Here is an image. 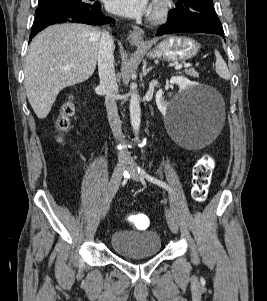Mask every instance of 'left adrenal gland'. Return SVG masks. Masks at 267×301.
Returning <instances> with one entry per match:
<instances>
[{
  "mask_svg": "<svg viewBox=\"0 0 267 301\" xmlns=\"http://www.w3.org/2000/svg\"><path fill=\"white\" fill-rule=\"evenodd\" d=\"M146 65H147V62L146 60L143 61V67H142V75L143 76H146L150 70H152L153 67H149V68H146Z\"/></svg>",
  "mask_w": 267,
  "mask_h": 301,
  "instance_id": "a2214340",
  "label": "left adrenal gland"
}]
</instances>
